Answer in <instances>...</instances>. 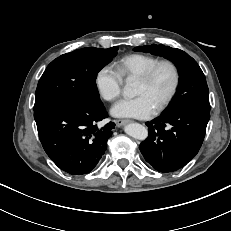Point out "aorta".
Wrapping results in <instances>:
<instances>
[{
	"label": "aorta",
	"instance_id": "obj_1",
	"mask_svg": "<svg viewBox=\"0 0 231 231\" xmlns=\"http://www.w3.org/2000/svg\"><path fill=\"white\" fill-rule=\"evenodd\" d=\"M133 88H134L133 82L127 80L126 85L124 87V94L128 97L133 96L134 94ZM124 131L129 136L138 140H145L148 137V129L139 123H131L126 125Z\"/></svg>",
	"mask_w": 231,
	"mask_h": 231
}]
</instances>
